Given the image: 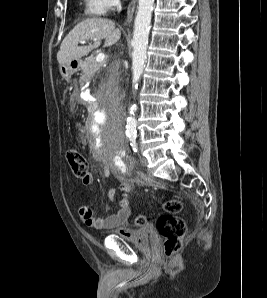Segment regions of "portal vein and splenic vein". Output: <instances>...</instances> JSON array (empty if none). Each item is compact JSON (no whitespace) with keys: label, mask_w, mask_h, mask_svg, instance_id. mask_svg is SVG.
<instances>
[{"label":"portal vein and splenic vein","mask_w":267,"mask_h":298,"mask_svg":"<svg viewBox=\"0 0 267 298\" xmlns=\"http://www.w3.org/2000/svg\"><path fill=\"white\" fill-rule=\"evenodd\" d=\"M81 44H85L86 41H80ZM105 59V54L104 53H99L97 56H96V61L97 62H102L104 61Z\"/></svg>","instance_id":"obj_1"}]
</instances>
